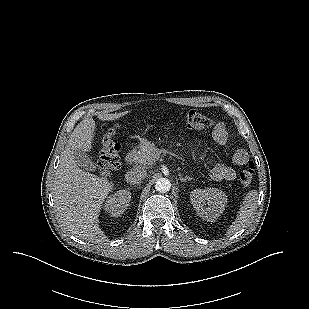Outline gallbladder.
Returning a JSON list of instances; mask_svg holds the SVG:
<instances>
[{"mask_svg": "<svg viewBox=\"0 0 309 309\" xmlns=\"http://www.w3.org/2000/svg\"><path fill=\"white\" fill-rule=\"evenodd\" d=\"M74 158L77 165L86 171H95L96 167L92 163L87 152L82 149L74 150Z\"/></svg>", "mask_w": 309, "mask_h": 309, "instance_id": "bac80fb5", "label": "gallbladder"}]
</instances>
